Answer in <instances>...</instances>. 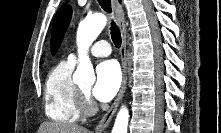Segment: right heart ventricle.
<instances>
[{
	"instance_id": "right-heart-ventricle-1",
	"label": "right heart ventricle",
	"mask_w": 221,
	"mask_h": 133,
	"mask_svg": "<svg viewBox=\"0 0 221 133\" xmlns=\"http://www.w3.org/2000/svg\"><path fill=\"white\" fill-rule=\"evenodd\" d=\"M74 63H58L48 74L44 87L46 116L55 123L72 125L81 118L78 108V86L72 79Z\"/></svg>"
}]
</instances>
